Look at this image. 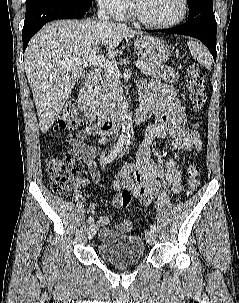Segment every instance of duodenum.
Listing matches in <instances>:
<instances>
[{
  "instance_id": "410a0bca",
  "label": "duodenum",
  "mask_w": 239,
  "mask_h": 303,
  "mask_svg": "<svg viewBox=\"0 0 239 303\" xmlns=\"http://www.w3.org/2000/svg\"><path fill=\"white\" fill-rule=\"evenodd\" d=\"M98 78V73L90 72L80 90L79 105L86 120L92 119V94L97 86ZM151 113V108L142 106L136 112H134L133 122L141 123L145 121ZM125 116L126 112L124 111H110L107 114L97 117L94 127L101 134L113 133L121 128Z\"/></svg>"
}]
</instances>
